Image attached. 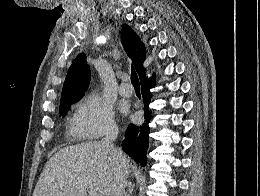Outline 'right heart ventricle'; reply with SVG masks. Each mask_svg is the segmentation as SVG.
I'll use <instances>...</instances> for the list:
<instances>
[{"label": "right heart ventricle", "mask_w": 260, "mask_h": 196, "mask_svg": "<svg viewBox=\"0 0 260 196\" xmlns=\"http://www.w3.org/2000/svg\"><path fill=\"white\" fill-rule=\"evenodd\" d=\"M66 192H83V190H66Z\"/></svg>", "instance_id": "right-heart-ventricle-1"}]
</instances>
